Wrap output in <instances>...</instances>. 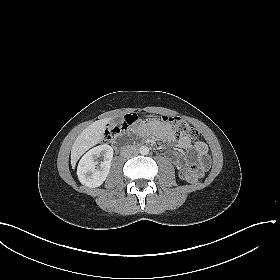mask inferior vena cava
Wrapping results in <instances>:
<instances>
[{
  "instance_id": "1",
  "label": "inferior vena cava",
  "mask_w": 280,
  "mask_h": 280,
  "mask_svg": "<svg viewBox=\"0 0 280 280\" xmlns=\"http://www.w3.org/2000/svg\"><path fill=\"white\" fill-rule=\"evenodd\" d=\"M139 153L138 149L133 146H127L121 151V155L125 158H129L133 155H137Z\"/></svg>"
}]
</instances>
